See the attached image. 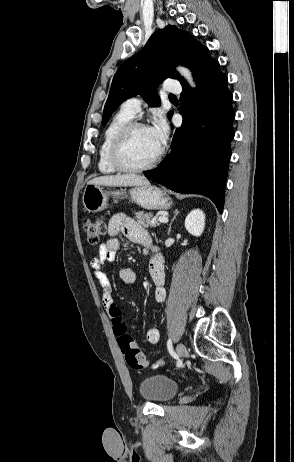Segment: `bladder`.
I'll use <instances>...</instances> for the list:
<instances>
[{
  "label": "bladder",
  "instance_id": "obj_1",
  "mask_svg": "<svg viewBox=\"0 0 294 462\" xmlns=\"http://www.w3.org/2000/svg\"><path fill=\"white\" fill-rule=\"evenodd\" d=\"M140 396L155 404L166 403L178 392V384L163 374H156L142 379L138 386Z\"/></svg>",
  "mask_w": 294,
  "mask_h": 462
}]
</instances>
